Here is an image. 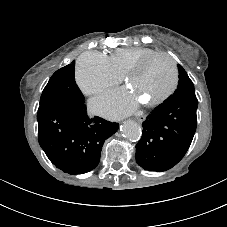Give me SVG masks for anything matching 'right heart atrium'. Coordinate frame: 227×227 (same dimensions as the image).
I'll list each match as a JSON object with an SVG mask.
<instances>
[{
  "label": "right heart atrium",
  "mask_w": 227,
  "mask_h": 227,
  "mask_svg": "<svg viewBox=\"0 0 227 227\" xmlns=\"http://www.w3.org/2000/svg\"><path fill=\"white\" fill-rule=\"evenodd\" d=\"M76 83L86 95H96L120 82L106 55L98 51H86L80 55L75 68Z\"/></svg>",
  "instance_id": "right-heart-atrium-1"
}]
</instances>
